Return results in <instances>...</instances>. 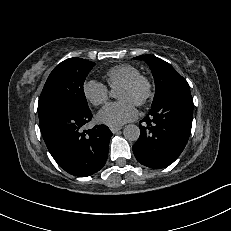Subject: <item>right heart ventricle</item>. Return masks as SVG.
Returning <instances> with one entry per match:
<instances>
[{
    "label": "right heart ventricle",
    "mask_w": 231,
    "mask_h": 231,
    "mask_svg": "<svg viewBox=\"0 0 231 231\" xmlns=\"http://www.w3.org/2000/svg\"><path fill=\"white\" fill-rule=\"evenodd\" d=\"M139 74L140 72L135 66L130 64H119L110 68L105 73V78L108 85L114 88Z\"/></svg>",
    "instance_id": "e07e8e85"
}]
</instances>
